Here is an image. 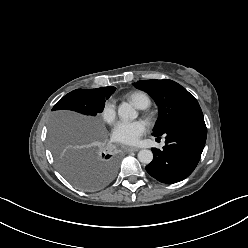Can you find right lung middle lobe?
<instances>
[{"instance_id": "1", "label": "right lung middle lobe", "mask_w": 248, "mask_h": 248, "mask_svg": "<svg viewBox=\"0 0 248 248\" xmlns=\"http://www.w3.org/2000/svg\"><path fill=\"white\" fill-rule=\"evenodd\" d=\"M115 87L76 89L60 99L52 110H73L84 115L96 116L103 111L105 101L115 92ZM52 133L51 149L61 173L78 188L95 191L107 186L117 172V160L111 155L92 159L88 149L66 148L71 138L86 135L82 128L61 138Z\"/></svg>"}]
</instances>
